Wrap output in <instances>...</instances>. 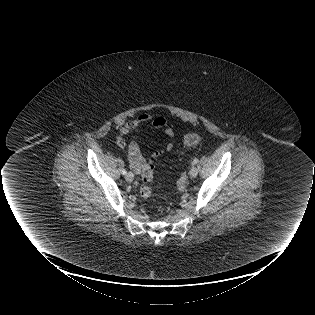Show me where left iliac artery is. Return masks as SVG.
Returning a JSON list of instances; mask_svg holds the SVG:
<instances>
[{"label":"left iliac artery","mask_w":315,"mask_h":315,"mask_svg":"<svg viewBox=\"0 0 315 315\" xmlns=\"http://www.w3.org/2000/svg\"><path fill=\"white\" fill-rule=\"evenodd\" d=\"M198 161H199V160H198L197 158H195V159L193 160V163H194V164H197Z\"/></svg>","instance_id":"44dca946"}]
</instances>
